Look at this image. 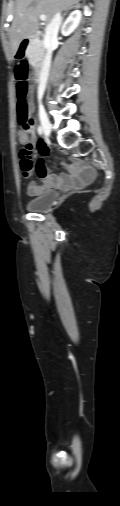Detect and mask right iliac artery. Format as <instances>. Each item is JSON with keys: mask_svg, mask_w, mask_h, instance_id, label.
I'll use <instances>...</instances> for the list:
<instances>
[{"mask_svg": "<svg viewBox=\"0 0 120 506\" xmlns=\"http://www.w3.org/2000/svg\"><path fill=\"white\" fill-rule=\"evenodd\" d=\"M38 133H39L40 135H42V133H43V129H42V127H41V126H39V127H38Z\"/></svg>", "mask_w": 120, "mask_h": 506, "instance_id": "1", "label": "right iliac artery"}]
</instances>
